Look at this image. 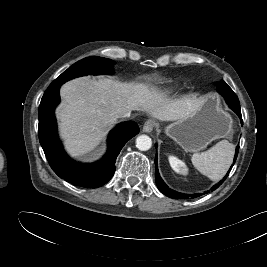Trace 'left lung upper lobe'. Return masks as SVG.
Wrapping results in <instances>:
<instances>
[{
	"label": "left lung upper lobe",
	"mask_w": 267,
	"mask_h": 267,
	"mask_svg": "<svg viewBox=\"0 0 267 267\" xmlns=\"http://www.w3.org/2000/svg\"><path fill=\"white\" fill-rule=\"evenodd\" d=\"M228 88L230 87L223 80L218 84V91H226Z\"/></svg>",
	"instance_id": "left-lung-upper-lobe-1"
}]
</instances>
